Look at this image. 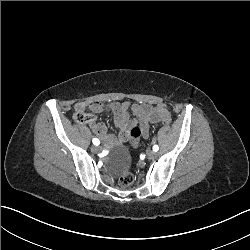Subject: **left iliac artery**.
Returning <instances> with one entry per match:
<instances>
[{
	"label": "left iliac artery",
	"mask_w": 250,
	"mask_h": 250,
	"mask_svg": "<svg viewBox=\"0 0 250 250\" xmlns=\"http://www.w3.org/2000/svg\"><path fill=\"white\" fill-rule=\"evenodd\" d=\"M158 150H159L158 145H154V146H153V151L157 152Z\"/></svg>",
	"instance_id": "44dca946"
}]
</instances>
